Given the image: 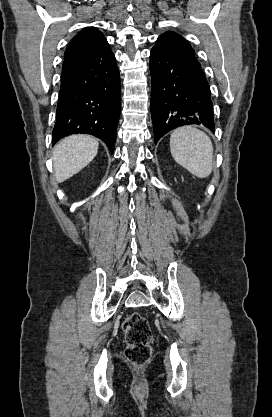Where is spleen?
<instances>
[{
    "mask_svg": "<svg viewBox=\"0 0 272 417\" xmlns=\"http://www.w3.org/2000/svg\"><path fill=\"white\" fill-rule=\"evenodd\" d=\"M174 160L198 178L208 177L213 168V144L203 131L191 126L175 129L170 136Z\"/></svg>",
    "mask_w": 272,
    "mask_h": 417,
    "instance_id": "3e777b00",
    "label": "spleen"
}]
</instances>
